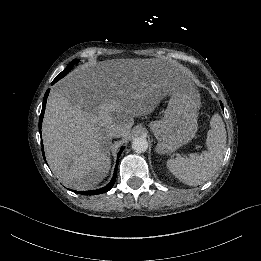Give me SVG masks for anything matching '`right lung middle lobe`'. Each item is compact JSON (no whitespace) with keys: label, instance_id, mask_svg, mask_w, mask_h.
Wrapping results in <instances>:
<instances>
[{"label":"right lung middle lobe","instance_id":"right-lung-middle-lobe-1","mask_svg":"<svg viewBox=\"0 0 261 261\" xmlns=\"http://www.w3.org/2000/svg\"><path fill=\"white\" fill-rule=\"evenodd\" d=\"M78 63V60L75 59L73 60L72 62H70L67 67L60 73L56 76V78L53 80V83H56L58 80H60L62 77H64L71 69L72 67Z\"/></svg>","mask_w":261,"mask_h":261}]
</instances>
